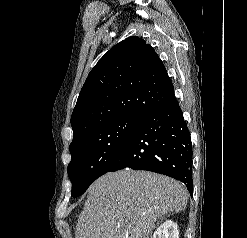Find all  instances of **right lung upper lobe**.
Here are the masks:
<instances>
[{
  "mask_svg": "<svg viewBox=\"0 0 247 238\" xmlns=\"http://www.w3.org/2000/svg\"><path fill=\"white\" fill-rule=\"evenodd\" d=\"M173 97V84L154 49L139 37L126 38L89 73L71 116L73 140L116 118L144 116Z\"/></svg>",
  "mask_w": 247,
  "mask_h": 238,
  "instance_id": "right-lung-upper-lobe-1",
  "label": "right lung upper lobe"
}]
</instances>
